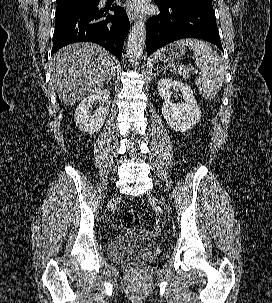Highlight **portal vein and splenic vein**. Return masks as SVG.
Segmentation results:
<instances>
[{"mask_svg":"<svg viewBox=\"0 0 272 303\" xmlns=\"http://www.w3.org/2000/svg\"><path fill=\"white\" fill-rule=\"evenodd\" d=\"M179 69L182 70V67H179ZM190 70L194 71L195 73H198V71L195 70L193 67H191Z\"/></svg>","mask_w":272,"mask_h":303,"instance_id":"obj_1","label":"portal vein and splenic vein"}]
</instances>
